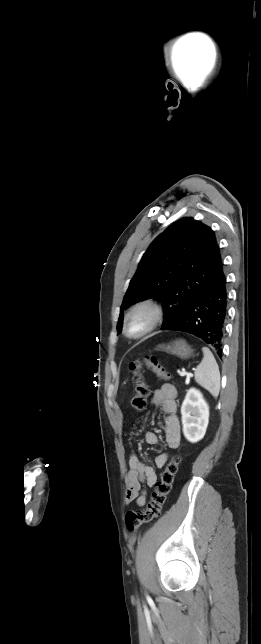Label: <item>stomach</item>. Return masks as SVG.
I'll return each mask as SVG.
<instances>
[{
    "label": "stomach",
    "mask_w": 261,
    "mask_h": 644,
    "mask_svg": "<svg viewBox=\"0 0 261 644\" xmlns=\"http://www.w3.org/2000/svg\"><path fill=\"white\" fill-rule=\"evenodd\" d=\"M158 349L176 355L181 359L190 358L193 354V349L183 339L175 340L169 344H161L158 346Z\"/></svg>",
    "instance_id": "obj_1"
}]
</instances>
